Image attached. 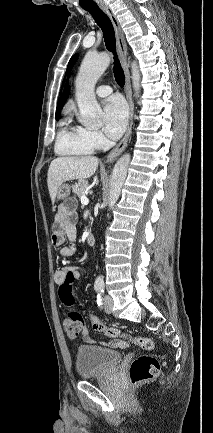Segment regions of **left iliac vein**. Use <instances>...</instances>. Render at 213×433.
I'll return each instance as SVG.
<instances>
[{
    "mask_svg": "<svg viewBox=\"0 0 213 433\" xmlns=\"http://www.w3.org/2000/svg\"><path fill=\"white\" fill-rule=\"evenodd\" d=\"M113 308V299L110 296L104 298V309L106 313H111Z\"/></svg>",
    "mask_w": 213,
    "mask_h": 433,
    "instance_id": "4c4485c4",
    "label": "left iliac vein"
}]
</instances>
